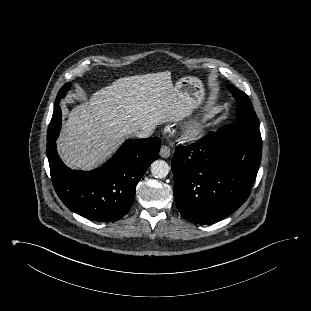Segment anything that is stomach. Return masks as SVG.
<instances>
[{
    "mask_svg": "<svg viewBox=\"0 0 311 311\" xmlns=\"http://www.w3.org/2000/svg\"><path fill=\"white\" fill-rule=\"evenodd\" d=\"M175 87L192 107L201 104L205 97L202 81L195 76H185L177 81Z\"/></svg>",
    "mask_w": 311,
    "mask_h": 311,
    "instance_id": "obj_1",
    "label": "stomach"
}]
</instances>
